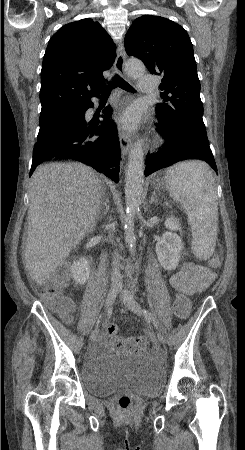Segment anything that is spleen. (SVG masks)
<instances>
[{"label": "spleen", "mask_w": 245, "mask_h": 450, "mask_svg": "<svg viewBox=\"0 0 245 450\" xmlns=\"http://www.w3.org/2000/svg\"><path fill=\"white\" fill-rule=\"evenodd\" d=\"M171 198L184 208L192 231V250L208 259L215 250L218 232V202L211 169L201 161L170 167L164 177Z\"/></svg>", "instance_id": "obj_1"}]
</instances>
